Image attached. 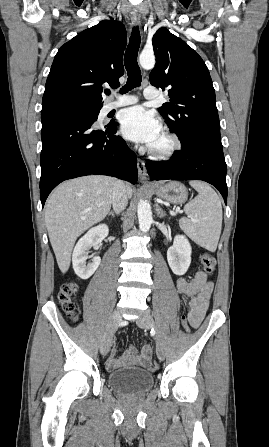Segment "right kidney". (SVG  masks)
<instances>
[{"label": "right kidney", "instance_id": "obj_1", "mask_svg": "<svg viewBox=\"0 0 269 447\" xmlns=\"http://www.w3.org/2000/svg\"><path fill=\"white\" fill-rule=\"evenodd\" d=\"M109 233V227L106 224L96 225V227H91L85 235H82L80 239H78L73 255H72V263L73 269L81 279H88L94 271H96L98 265H100L101 257L99 255H95L93 257L91 263L86 265V259H88V249L90 247H95L98 243H101L104 237H107Z\"/></svg>", "mask_w": 269, "mask_h": 447}]
</instances>
